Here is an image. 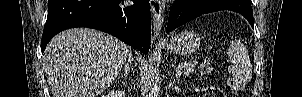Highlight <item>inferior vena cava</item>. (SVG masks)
<instances>
[{"instance_id": "602c4592", "label": "inferior vena cava", "mask_w": 302, "mask_h": 97, "mask_svg": "<svg viewBox=\"0 0 302 97\" xmlns=\"http://www.w3.org/2000/svg\"><path fill=\"white\" fill-rule=\"evenodd\" d=\"M130 58H131V55L129 56V61L131 62Z\"/></svg>"}]
</instances>
